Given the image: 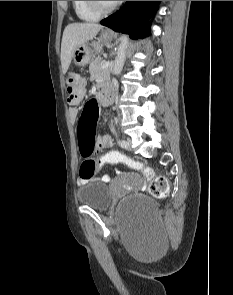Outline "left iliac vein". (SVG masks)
Masks as SVG:
<instances>
[{
  "label": "left iliac vein",
  "mask_w": 233,
  "mask_h": 295,
  "mask_svg": "<svg viewBox=\"0 0 233 295\" xmlns=\"http://www.w3.org/2000/svg\"><path fill=\"white\" fill-rule=\"evenodd\" d=\"M127 141L126 145H121L122 148L126 149V150H130L131 149V141L129 139H124Z\"/></svg>",
  "instance_id": "obj_1"
}]
</instances>
